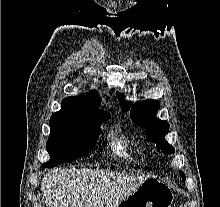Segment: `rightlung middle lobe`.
<instances>
[{"label":"right lung middle lobe","instance_id":"right-lung-middle-lobe-1","mask_svg":"<svg viewBox=\"0 0 220 207\" xmlns=\"http://www.w3.org/2000/svg\"><path fill=\"white\" fill-rule=\"evenodd\" d=\"M102 122L73 104L62 103L61 110L53 113L49 121L51 133L46 148L51 157L43 166H57L88 154L96 146Z\"/></svg>","mask_w":220,"mask_h":207}]
</instances>
